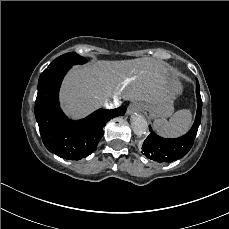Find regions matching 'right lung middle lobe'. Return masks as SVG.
Returning a JSON list of instances; mask_svg holds the SVG:
<instances>
[{"instance_id": "right-lung-middle-lobe-1", "label": "right lung middle lobe", "mask_w": 229, "mask_h": 229, "mask_svg": "<svg viewBox=\"0 0 229 229\" xmlns=\"http://www.w3.org/2000/svg\"><path fill=\"white\" fill-rule=\"evenodd\" d=\"M86 62V59L74 52H69L66 54H63L56 58L47 69H45L42 74L47 73L48 71L54 70L56 68L66 66V65H76V64H83ZM41 74V75H42Z\"/></svg>"}]
</instances>
